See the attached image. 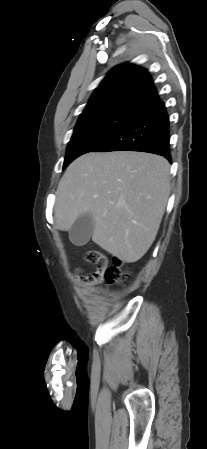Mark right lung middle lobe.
Returning a JSON list of instances; mask_svg holds the SVG:
<instances>
[{"instance_id": "dd1d6c3e", "label": "right lung middle lobe", "mask_w": 207, "mask_h": 449, "mask_svg": "<svg viewBox=\"0 0 207 449\" xmlns=\"http://www.w3.org/2000/svg\"><path fill=\"white\" fill-rule=\"evenodd\" d=\"M126 110H110L80 116L67 146L63 169L82 154L91 152L134 115Z\"/></svg>"}]
</instances>
